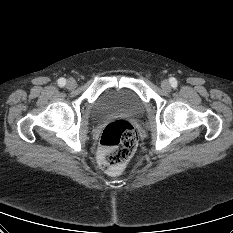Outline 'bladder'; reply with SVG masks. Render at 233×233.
Returning <instances> with one entry per match:
<instances>
[{
    "mask_svg": "<svg viewBox=\"0 0 233 233\" xmlns=\"http://www.w3.org/2000/svg\"><path fill=\"white\" fill-rule=\"evenodd\" d=\"M144 108V101L135 91L129 88H109L95 100L91 115L96 120L115 114L139 116Z\"/></svg>",
    "mask_w": 233,
    "mask_h": 233,
    "instance_id": "31cf9c89",
    "label": "bladder"
}]
</instances>
